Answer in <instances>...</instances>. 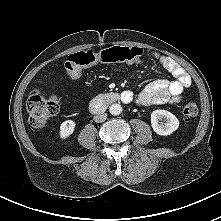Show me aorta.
Returning <instances> with one entry per match:
<instances>
[{"label":"aorta","mask_w":221,"mask_h":221,"mask_svg":"<svg viewBox=\"0 0 221 221\" xmlns=\"http://www.w3.org/2000/svg\"><path fill=\"white\" fill-rule=\"evenodd\" d=\"M109 112L112 115H119L122 112V106L120 104H117V103L112 104L109 107Z\"/></svg>","instance_id":"obj_1"}]
</instances>
